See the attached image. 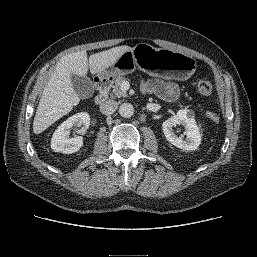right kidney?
<instances>
[{
    "label": "right kidney",
    "instance_id": "ca27d5eb",
    "mask_svg": "<svg viewBox=\"0 0 257 257\" xmlns=\"http://www.w3.org/2000/svg\"><path fill=\"white\" fill-rule=\"evenodd\" d=\"M90 124V116L86 112L77 113L60 124L51 138V149L54 152L72 154L83 146L81 136L69 137L74 126H82L81 132H85Z\"/></svg>",
    "mask_w": 257,
    "mask_h": 257
}]
</instances>
